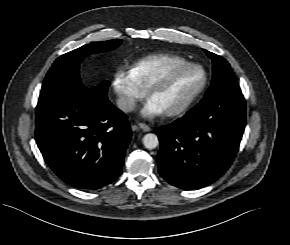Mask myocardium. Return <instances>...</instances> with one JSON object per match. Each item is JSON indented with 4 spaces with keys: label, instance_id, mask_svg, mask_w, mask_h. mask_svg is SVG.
<instances>
[{
    "label": "myocardium",
    "instance_id": "f54148a6",
    "mask_svg": "<svg viewBox=\"0 0 290 245\" xmlns=\"http://www.w3.org/2000/svg\"><path fill=\"white\" fill-rule=\"evenodd\" d=\"M189 68H197L200 69L202 74H203V81L201 85L196 89V91L180 106L164 112L167 117H174L178 116L180 114H183L186 112L196 101L197 99L201 96V94L205 91L208 81H209V76L207 73V70L200 64L197 63H192V62H187L185 64L177 65L174 66L166 71V73L160 74L156 76L152 82L149 84L148 88L146 89V94L147 96H150L151 93L160 85L168 81L169 77L173 74L179 73L183 70L189 69Z\"/></svg>",
    "mask_w": 290,
    "mask_h": 245
}]
</instances>
